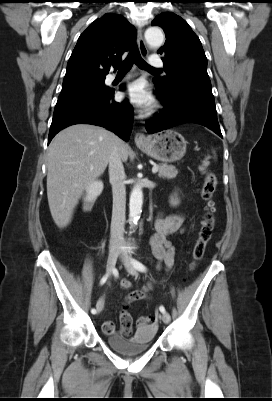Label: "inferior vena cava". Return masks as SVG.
I'll list each match as a JSON object with an SVG mask.
<instances>
[{
    "mask_svg": "<svg viewBox=\"0 0 272 401\" xmlns=\"http://www.w3.org/2000/svg\"><path fill=\"white\" fill-rule=\"evenodd\" d=\"M109 179L113 193L110 244L117 245L120 244L123 239L126 210V175L122 164V158L117 147H114L109 158Z\"/></svg>",
    "mask_w": 272,
    "mask_h": 401,
    "instance_id": "1",
    "label": "inferior vena cava"
}]
</instances>
